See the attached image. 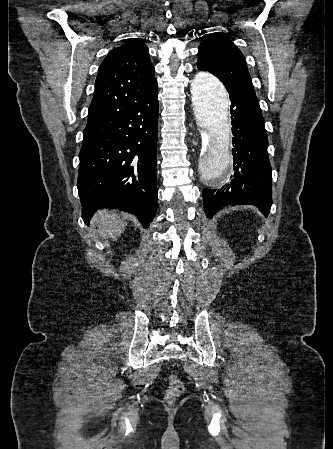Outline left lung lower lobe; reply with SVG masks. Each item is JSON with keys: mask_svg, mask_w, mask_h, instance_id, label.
I'll use <instances>...</instances> for the list:
<instances>
[{"mask_svg": "<svg viewBox=\"0 0 333 449\" xmlns=\"http://www.w3.org/2000/svg\"><path fill=\"white\" fill-rule=\"evenodd\" d=\"M228 93L235 171L226 186L203 189L205 213L212 217L226 205L253 204L267 216L272 205V169L259 102L234 90Z\"/></svg>", "mask_w": 333, "mask_h": 449, "instance_id": "obj_1", "label": "left lung lower lobe"}]
</instances>
